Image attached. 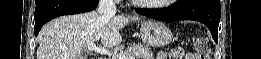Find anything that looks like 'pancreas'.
Masks as SVG:
<instances>
[{
    "mask_svg": "<svg viewBox=\"0 0 261 59\" xmlns=\"http://www.w3.org/2000/svg\"><path fill=\"white\" fill-rule=\"evenodd\" d=\"M123 54L127 56L128 59L131 57L136 59H154V54L151 49L142 44L128 46Z\"/></svg>",
    "mask_w": 261,
    "mask_h": 59,
    "instance_id": "pancreas-1",
    "label": "pancreas"
}]
</instances>
